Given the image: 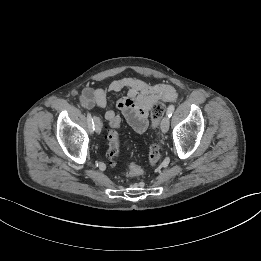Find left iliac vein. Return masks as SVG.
<instances>
[{
    "label": "left iliac vein",
    "mask_w": 261,
    "mask_h": 261,
    "mask_svg": "<svg viewBox=\"0 0 261 261\" xmlns=\"http://www.w3.org/2000/svg\"><path fill=\"white\" fill-rule=\"evenodd\" d=\"M169 117L168 116H165L162 121H161V130L163 133H166L169 129Z\"/></svg>",
    "instance_id": "4c4485c4"
}]
</instances>
